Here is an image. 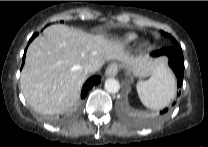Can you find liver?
<instances>
[{"label": "liver", "instance_id": "1", "mask_svg": "<svg viewBox=\"0 0 208 147\" xmlns=\"http://www.w3.org/2000/svg\"><path fill=\"white\" fill-rule=\"evenodd\" d=\"M123 62L136 75H153L162 59L130 57L121 41L91 35L63 24L48 26L29 45L21 72L20 88L27 103L42 114L69 111L79 99L86 80L84 67L98 71L107 60Z\"/></svg>", "mask_w": 208, "mask_h": 147}]
</instances>
